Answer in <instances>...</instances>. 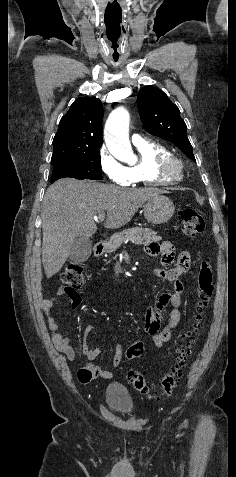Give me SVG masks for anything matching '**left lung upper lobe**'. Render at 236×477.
<instances>
[{"instance_id":"left-lung-upper-lobe-1","label":"left lung upper lobe","mask_w":236,"mask_h":477,"mask_svg":"<svg viewBox=\"0 0 236 477\" xmlns=\"http://www.w3.org/2000/svg\"><path fill=\"white\" fill-rule=\"evenodd\" d=\"M138 110L145 129L152 135L176 145L195 161L192 145L187 137V126L178 107L167 95L153 86L143 87L137 96Z\"/></svg>"}]
</instances>
